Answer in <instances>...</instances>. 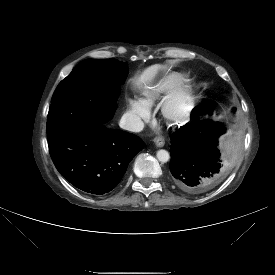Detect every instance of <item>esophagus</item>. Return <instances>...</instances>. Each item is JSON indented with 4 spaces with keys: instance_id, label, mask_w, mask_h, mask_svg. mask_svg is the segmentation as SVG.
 Segmentation results:
<instances>
[{
    "instance_id": "1",
    "label": "esophagus",
    "mask_w": 275,
    "mask_h": 275,
    "mask_svg": "<svg viewBox=\"0 0 275 275\" xmlns=\"http://www.w3.org/2000/svg\"><path fill=\"white\" fill-rule=\"evenodd\" d=\"M154 143L157 147H163L165 144V140L162 136H157L154 138Z\"/></svg>"
}]
</instances>
